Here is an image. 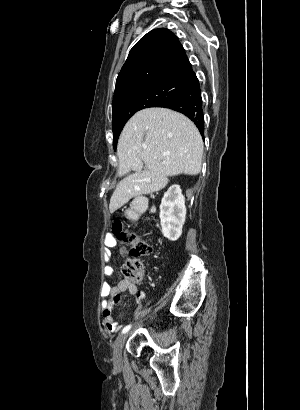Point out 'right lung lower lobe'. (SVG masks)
<instances>
[{
	"instance_id": "right-lung-lower-lobe-1",
	"label": "right lung lower lobe",
	"mask_w": 300,
	"mask_h": 410,
	"mask_svg": "<svg viewBox=\"0 0 300 410\" xmlns=\"http://www.w3.org/2000/svg\"><path fill=\"white\" fill-rule=\"evenodd\" d=\"M160 107L170 108L186 115L194 122L203 136L204 118L201 90L199 81L195 75L175 98Z\"/></svg>"
}]
</instances>
